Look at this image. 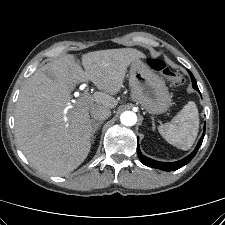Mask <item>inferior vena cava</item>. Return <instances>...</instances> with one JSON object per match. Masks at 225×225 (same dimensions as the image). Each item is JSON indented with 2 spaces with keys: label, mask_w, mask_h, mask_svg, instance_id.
Instances as JSON below:
<instances>
[{
  "label": "inferior vena cava",
  "mask_w": 225,
  "mask_h": 225,
  "mask_svg": "<svg viewBox=\"0 0 225 225\" xmlns=\"http://www.w3.org/2000/svg\"><path fill=\"white\" fill-rule=\"evenodd\" d=\"M90 113L92 118L97 121H103L111 115L110 109L104 106H95L91 109Z\"/></svg>",
  "instance_id": "inferior-vena-cava-1"
}]
</instances>
